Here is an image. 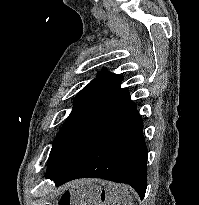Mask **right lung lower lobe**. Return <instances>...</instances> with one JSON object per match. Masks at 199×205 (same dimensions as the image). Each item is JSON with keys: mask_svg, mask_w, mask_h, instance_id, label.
Returning a JSON list of instances; mask_svg holds the SVG:
<instances>
[{"mask_svg": "<svg viewBox=\"0 0 199 205\" xmlns=\"http://www.w3.org/2000/svg\"><path fill=\"white\" fill-rule=\"evenodd\" d=\"M146 164L143 122L137 113L60 172L45 177L53 180L56 186L78 178H102L125 183L133 187L142 200L147 187Z\"/></svg>", "mask_w": 199, "mask_h": 205, "instance_id": "right-lung-lower-lobe-1", "label": "right lung lower lobe"}]
</instances>
